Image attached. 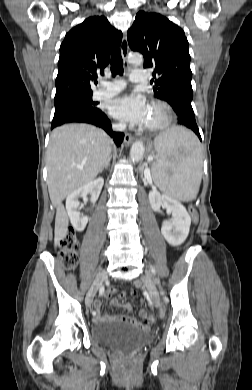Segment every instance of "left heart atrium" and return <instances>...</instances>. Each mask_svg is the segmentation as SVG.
<instances>
[{"label": "left heart atrium", "instance_id": "obj_1", "mask_svg": "<svg viewBox=\"0 0 252 390\" xmlns=\"http://www.w3.org/2000/svg\"><path fill=\"white\" fill-rule=\"evenodd\" d=\"M149 105L145 98L137 94H126L110 102V113L122 121L133 125H144L149 113Z\"/></svg>", "mask_w": 252, "mask_h": 390}]
</instances>
